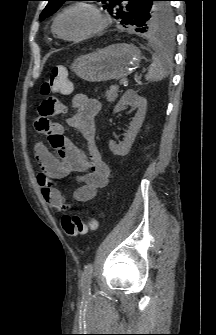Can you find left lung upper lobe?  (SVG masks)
<instances>
[{"label":"left lung upper lobe","instance_id":"left-lung-upper-lobe-1","mask_svg":"<svg viewBox=\"0 0 216 335\" xmlns=\"http://www.w3.org/2000/svg\"><path fill=\"white\" fill-rule=\"evenodd\" d=\"M48 4L40 15V21L55 13L69 0H47ZM104 3V9L120 23L134 26L137 32L171 35L174 17L169 0H95Z\"/></svg>","mask_w":216,"mask_h":335}]
</instances>
